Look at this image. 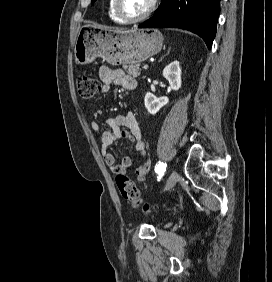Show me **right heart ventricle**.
I'll return each instance as SVG.
<instances>
[{
    "label": "right heart ventricle",
    "instance_id": "e07e8e85",
    "mask_svg": "<svg viewBox=\"0 0 272 282\" xmlns=\"http://www.w3.org/2000/svg\"><path fill=\"white\" fill-rule=\"evenodd\" d=\"M109 16L116 23H120V24H125L126 23L121 18H119L117 16V14L115 13V10L113 8V0H110V2H109Z\"/></svg>",
    "mask_w": 272,
    "mask_h": 282
}]
</instances>
